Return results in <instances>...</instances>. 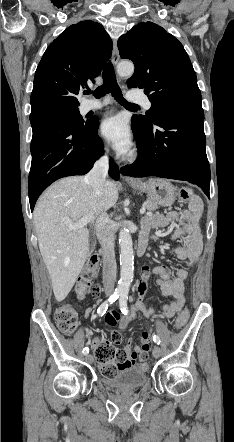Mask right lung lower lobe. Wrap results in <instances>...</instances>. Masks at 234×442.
<instances>
[{
  "label": "right lung lower lobe",
  "mask_w": 234,
  "mask_h": 442,
  "mask_svg": "<svg viewBox=\"0 0 234 442\" xmlns=\"http://www.w3.org/2000/svg\"><path fill=\"white\" fill-rule=\"evenodd\" d=\"M33 137L32 163L28 179L31 211L39 195L59 178L84 175L103 154L97 118L79 125L62 115L30 118ZM109 175L118 180L119 168L110 162Z\"/></svg>",
  "instance_id": "98d812e1"
}]
</instances>
